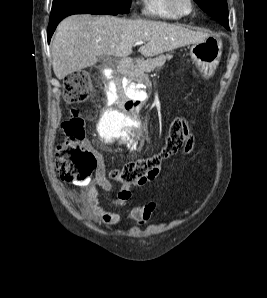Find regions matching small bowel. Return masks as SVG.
Instances as JSON below:
<instances>
[{"mask_svg":"<svg viewBox=\"0 0 267 298\" xmlns=\"http://www.w3.org/2000/svg\"><path fill=\"white\" fill-rule=\"evenodd\" d=\"M196 78L201 82L200 76L197 74ZM159 167L155 174L149 178L139 181L134 184H124L118 193L116 203L120 206H127L132 193L131 188L137 186H143L147 182L155 179L160 173ZM96 184L105 191L111 189V183L107 180L105 175V166L102 159H99L96 170ZM69 196L80 208L85 217L92 221L103 222L107 225L118 224L121 220V216L118 213L106 211L98 202V189L95 185L90 184L87 187L85 194L79 195L74 192H69ZM157 208V203L152 201L142 206H134L128 210V218L137 225H144L149 222L153 213Z\"/></svg>","mask_w":267,"mask_h":298,"instance_id":"obj_1","label":"small bowel"}]
</instances>
